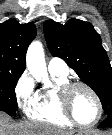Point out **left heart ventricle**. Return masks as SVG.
Returning a JSON list of instances; mask_svg holds the SVG:
<instances>
[{"instance_id":"b2bd125f","label":"left heart ventricle","mask_w":112,"mask_h":135,"mask_svg":"<svg viewBox=\"0 0 112 135\" xmlns=\"http://www.w3.org/2000/svg\"><path fill=\"white\" fill-rule=\"evenodd\" d=\"M72 111L78 121L90 123L97 116V105L92 95L84 88H76L70 97Z\"/></svg>"}]
</instances>
